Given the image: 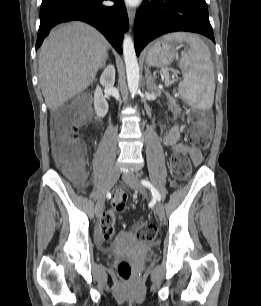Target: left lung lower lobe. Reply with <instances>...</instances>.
Masks as SVG:
<instances>
[{
  "label": "left lung lower lobe",
  "instance_id": "left-lung-lower-lobe-1",
  "mask_svg": "<svg viewBox=\"0 0 261 306\" xmlns=\"http://www.w3.org/2000/svg\"><path fill=\"white\" fill-rule=\"evenodd\" d=\"M177 31L199 33L215 42L205 0H145L134 22L137 56L153 39Z\"/></svg>",
  "mask_w": 261,
  "mask_h": 306
}]
</instances>
